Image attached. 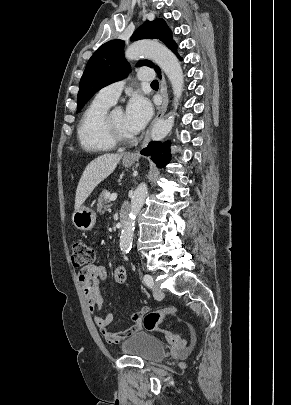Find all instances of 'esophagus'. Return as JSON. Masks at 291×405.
<instances>
[{
  "mask_svg": "<svg viewBox=\"0 0 291 405\" xmlns=\"http://www.w3.org/2000/svg\"><path fill=\"white\" fill-rule=\"evenodd\" d=\"M160 92L162 94V104L159 107V110H158L154 120L152 121V123L150 124V126L146 132L145 138L142 143V147L146 146L149 143L150 131H151L152 126L155 124V122H157L165 114L167 107H168L169 99H168V95H167L166 85H165V82L163 79L161 80V83H160ZM127 158H134V156L128 155Z\"/></svg>",
  "mask_w": 291,
  "mask_h": 405,
  "instance_id": "obj_1",
  "label": "esophagus"
}]
</instances>
